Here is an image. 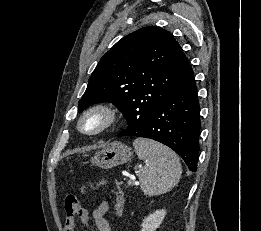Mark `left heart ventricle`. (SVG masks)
Segmentation results:
<instances>
[{"label":"left heart ventricle","mask_w":261,"mask_h":231,"mask_svg":"<svg viewBox=\"0 0 261 231\" xmlns=\"http://www.w3.org/2000/svg\"><path fill=\"white\" fill-rule=\"evenodd\" d=\"M100 121L101 119L98 116L89 117L83 122L82 128L85 130L95 129L100 124Z\"/></svg>","instance_id":"1"}]
</instances>
